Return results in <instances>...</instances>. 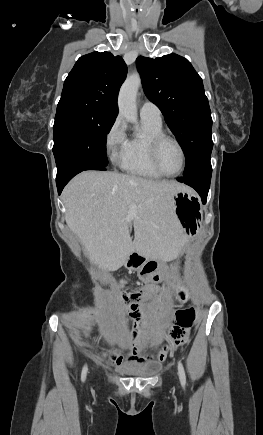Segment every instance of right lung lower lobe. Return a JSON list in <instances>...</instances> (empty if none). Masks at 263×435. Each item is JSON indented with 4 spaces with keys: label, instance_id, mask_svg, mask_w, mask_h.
Here are the masks:
<instances>
[{
    "label": "right lung lower lobe",
    "instance_id": "1",
    "mask_svg": "<svg viewBox=\"0 0 263 435\" xmlns=\"http://www.w3.org/2000/svg\"><path fill=\"white\" fill-rule=\"evenodd\" d=\"M84 170H106L105 166L86 163L82 161H72L66 163L62 168L57 170L56 184L58 194L60 195L64 186L78 173Z\"/></svg>",
    "mask_w": 263,
    "mask_h": 435
}]
</instances>
